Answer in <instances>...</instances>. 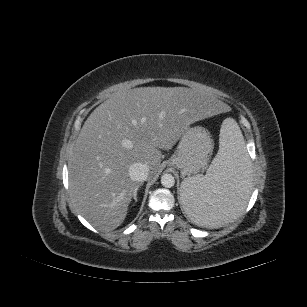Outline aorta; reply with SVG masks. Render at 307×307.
Masks as SVG:
<instances>
[{
    "mask_svg": "<svg viewBox=\"0 0 307 307\" xmlns=\"http://www.w3.org/2000/svg\"><path fill=\"white\" fill-rule=\"evenodd\" d=\"M161 184L166 188H171L175 184V178L172 174L165 173L161 177Z\"/></svg>",
    "mask_w": 307,
    "mask_h": 307,
    "instance_id": "1",
    "label": "aorta"
}]
</instances>
